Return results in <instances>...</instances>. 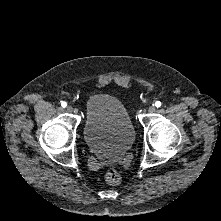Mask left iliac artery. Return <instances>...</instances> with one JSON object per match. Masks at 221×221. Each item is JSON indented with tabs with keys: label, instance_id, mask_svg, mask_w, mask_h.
Instances as JSON below:
<instances>
[{
	"label": "left iliac artery",
	"instance_id": "1",
	"mask_svg": "<svg viewBox=\"0 0 221 221\" xmlns=\"http://www.w3.org/2000/svg\"><path fill=\"white\" fill-rule=\"evenodd\" d=\"M155 106L158 108V107H160L161 106V102L160 101H156L155 102Z\"/></svg>",
	"mask_w": 221,
	"mask_h": 221
}]
</instances>
